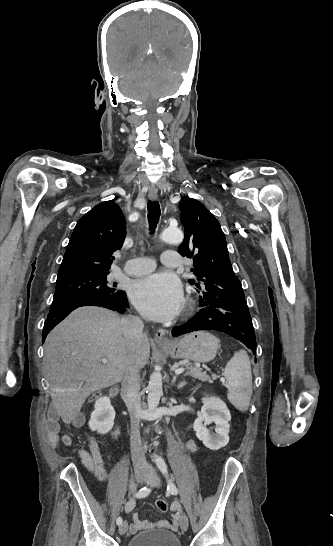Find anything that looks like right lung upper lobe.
Masks as SVG:
<instances>
[{"label":"right lung upper lobe","instance_id":"obj_1","mask_svg":"<svg viewBox=\"0 0 333 546\" xmlns=\"http://www.w3.org/2000/svg\"><path fill=\"white\" fill-rule=\"evenodd\" d=\"M126 236L125 218L112 200L92 208L77 222L64 254L58 278L81 273L108 272L112 254Z\"/></svg>","mask_w":333,"mask_h":546}]
</instances>
